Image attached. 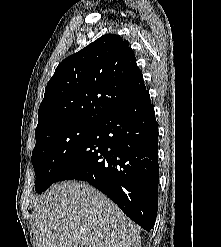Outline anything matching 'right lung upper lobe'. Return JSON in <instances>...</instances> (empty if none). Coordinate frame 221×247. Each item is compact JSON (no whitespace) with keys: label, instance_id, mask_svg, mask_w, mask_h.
Segmentation results:
<instances>
[{"label":"right lung upper lobe","instance_id":"cb5924a9","mask_svg":"<svg viewBox=\"0 0 221 247\" xmlns=\"http://www.w3.org/2000/svg\"><path fill=\"white\" fill-rule=\"evenodd\" d=\"M146 90L129 42L106 34L64 59L49 80L35 135L70 123H99Z\"/></svg>","mask_w":221,"mask_h":247}]
</instances>
